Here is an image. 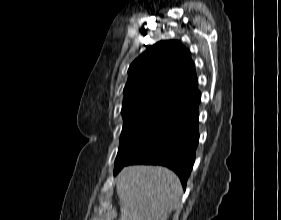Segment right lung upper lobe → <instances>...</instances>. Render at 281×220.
Wrapping results in <instances>:
<instances>
[{"label":"right lung upper lobe","instance_id":"right-lung-upper-lobe-1","mask_svg":"<svg viewBox=\"0 0 281 220\" xmlns=\"http://www.w3.org/2000/svg\"><path fill=\"white\" fill-rule=\"evenodd\" d=\"M122 116L171 118L200 97L191 55L181 42L160 41L143 52L128 69Z\"/></svg>","mask_w":281,"mask_h":220}]
</instances>
